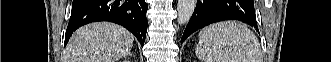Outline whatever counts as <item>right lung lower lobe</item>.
I'll use <instances>...</instances> for the list:
<instances>
[{"mask_svg": "<svg viewBox=\"0 0 331 62\" xmlns=\"http://www.w3.org/2000/svg\"><path fill=\"white\" fill-rule=\"evenodd\" d=\"M147 9L145 0H73L65 45L79 27L91 22L109 21L132 32L143 46L147 32Z\"/></svg>", "mask_w": 331, "mask_h": 62, "instance_id": "right-lung-lower-lobe-1", "label": "right lung lower lobe"}]
</instances>
